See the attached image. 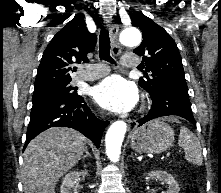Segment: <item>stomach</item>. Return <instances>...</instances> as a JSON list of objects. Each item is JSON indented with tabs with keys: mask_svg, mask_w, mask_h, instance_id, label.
Masks as SVG:
<instances>
[{
	"mask_svg": "<svg viewBox=\"0 0 221 193\" xmlns=\"http://www.w3.org/2000/svg\"><path fill=\"white\" fill-rule=\"evenodd\" d=\"M173 141L174 130L162 119L152 120L130 135V147L138 153H161L167 150Z\"/></svg>",
	"mask_w": 221,
	"mask_h": 193,
	"instance_id": "obj_1",
	"label": "stomach"
}]
</instances>
